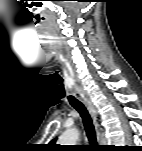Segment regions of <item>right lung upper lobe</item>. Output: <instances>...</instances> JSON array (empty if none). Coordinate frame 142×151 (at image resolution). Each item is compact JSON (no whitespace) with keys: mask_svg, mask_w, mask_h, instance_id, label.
<instances>
[{"mask_svg":"<svg viewBox=\"0 0 142 151\" xmlns=\"http://www.w3.org/2000/svg\"><path fill=\"white\" fill-rule=\"evenodd\" d=\"M55 141H56V139H53V140L50 142V146H51L52 148H55V147H56V145L54 144Z\"/></svg>","mask_w":142,"mask_h":151,"instance_id":"right-lung-upper-lobe-1","label":"right lung upper lobe"}]
</instances>
